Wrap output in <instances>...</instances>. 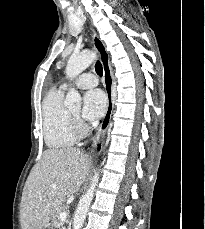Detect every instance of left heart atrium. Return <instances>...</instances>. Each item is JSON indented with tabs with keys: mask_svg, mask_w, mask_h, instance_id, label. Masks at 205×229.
I'll list each match as a JSON object with an SVG mask.
<instances>
[{
	"mask_svg": "<svg viewBox=\"0 0 205 229\" xmlns=\"http://www.w3.org/2000/svg\"><path fill=\"white\" fill-rule=\"evenodd\" d=\"M107 108V97L100 89H93L84 95L83 117L88 121L97 120L103 116Z\"/></svg>",
	"mask_w": 205,
	"mask_h": 229,
	"instance_id": "obj_1",
	"label": "left heart atrium"
}]
</instances>
